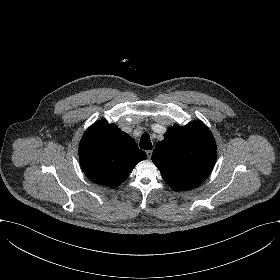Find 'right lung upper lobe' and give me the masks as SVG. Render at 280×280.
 I'll use <instances>...</instances> for the list:
<instances>
[{
  "instance_id": "right-lung-upper-lobe-1",
  "label": "right lung upper lobe",
  "mask_w": 280,
  "mask_h": 280,
  "mask_svg": "<svg viewBox=\"0 0 280 280\" xmlns=\"http://www.w3.org/2000/svg\"><path fill=\"white\" fill-rule=\"evenodd\" d=\"M80 164L92 181L115 188L146 159L134 139L106 120L93 124L79 145Z\"/></svg>"
}]
</instances>
